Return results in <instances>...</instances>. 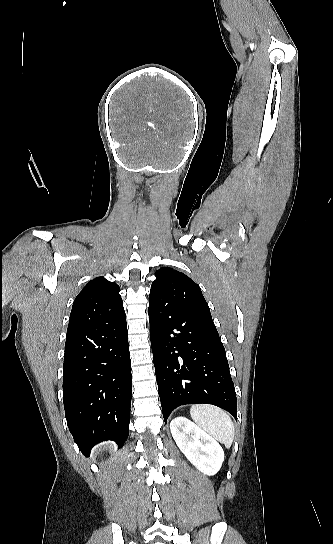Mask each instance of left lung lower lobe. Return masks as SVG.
Instances as JSON below:
<instances>
[{
    "label": "left lung lower lobe",
    "mask_w": 333,
    "mask_h": 544,
    "mask_svg": "<svg viewBox=\"0 0 333 544\" xmlns=\"http://www.w3.org/2000/svg\"><path fill=\"white\" fill-rule=\"evenodd\" d=\"M150 334L163 417L185 404H213L237 419V398L212 318L149 302Z\"/></svg>",
    "instance_id": "1"
}]
</instances>
